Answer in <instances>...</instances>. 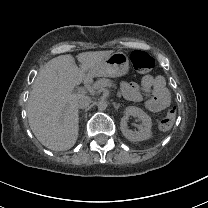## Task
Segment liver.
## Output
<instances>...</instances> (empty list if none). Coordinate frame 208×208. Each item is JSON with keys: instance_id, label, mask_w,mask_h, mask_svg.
I'll return each mask as SVG.
<instances>
[{"instance_id": "6515ba94", "label": "liver", "mask_w": 208, "mask_h": 208, "mask_svg": "<svg viewBox=\"0 0 208 208\" xmlns=\"http://www.w3.org/2000/svg\"><path fill=\"white\" fill-rule=\"evenodd\" d=\"M113 53L109 51L78 54L79 68L72 55H60L39 71L30 92L27 116L38 141L54 151L70 149L78 138V100L72 94L85 78V72Z\"/></svg>"}]
</instances>
